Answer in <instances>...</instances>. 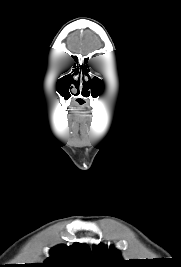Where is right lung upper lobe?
<instances>
[{
	"instance_id": "cb5924a9",
	"label": "right lung upper lobe",
	"mask_w": 181,
	"mask_h": 267,
	"mask_svg": "<svg viewBox=\"0 0 181 267\" xmlns=\"http://www.w3.org/2000/svg\"><path fill=\"white\" fill-rule=\"evenodd\" d=\"M51 257L42 267H90L93 258L87 245L74 243L72 246L57 245L51 250Z\"/></svg>"
}]
</instances>
